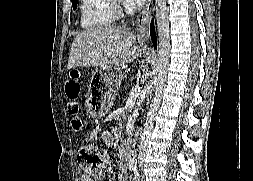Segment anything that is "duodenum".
<instances>
[{
  "instance_id": "410a0bca",
  "label": "duodenum",
  "mask_w": 253,
  "mask_h": 181,
  "mask_svg": "<svg viewBox=\"0 0 253 181\" xmlns=\"http://www.w3.org/2000/svg\"><path fill=\"white\" fill-rule=\"evenodd\" d=\"M142 131H143L142 129H139V130L137 131V136H138V137H141V136H142V133H143Z\"/></svg>"
}]
</instances>
